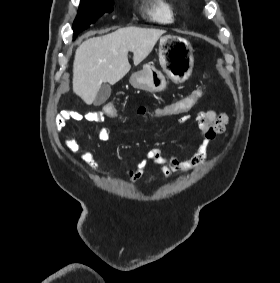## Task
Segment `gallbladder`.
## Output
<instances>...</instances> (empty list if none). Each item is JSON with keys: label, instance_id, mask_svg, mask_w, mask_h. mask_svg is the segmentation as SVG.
<instances>
[{"label": "gallbladder", "instance_id": "1", "mask_svg": "<svg viewBox=\"0 0 280 283\" xmlns=\"http://www.w3.org/2000/svg\"><path fill=\"white\" fill-rule=\"evenodd\" d=\"M111 94V87L110 85L103 83L96 95V98L94 100V105L99 106L106 102V100L109 98Z\"/></svg>", "mask_w": 280, "mask_h": 283}]
</instances>
